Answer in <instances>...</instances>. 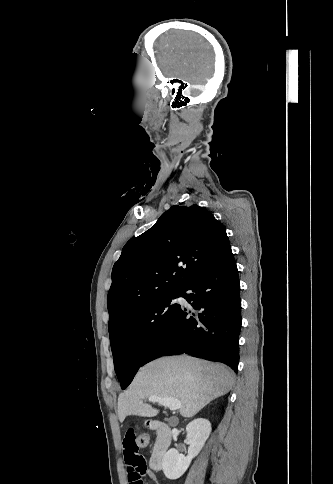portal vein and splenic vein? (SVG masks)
Instances as JSON below:
<instances>
[{
  "label": "portal vein and splenic vein",
  "mask_w": 333,
  "mask_h": 484,
  "mask_svg": "<svg viewBox=\"0 0 333 484\" xmlns=\"http://www.w3.org/2000/svg\"><path fill=\"white\" fill-rule=\"evenodd\" d=\"M149 402H158L163 406L168 407L171 411H176L182 408V404L178 399L171 398V397H161L157 395H153L148 397ZM143 403V401H141Z\"/></svg>",
  "instance_id": "1"
}]
</instances>
